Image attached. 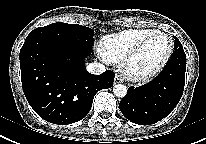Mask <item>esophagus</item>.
I'll use <instances>...</instances> for the list:
<instances>
[{
  "label": "esophagus",
  "instance_id": "34e87169",
  "mask_svg": "<svg viewBox=\"0 0 206 144\" xmlns=\"http://www.w3.org/2000/svg\"><path fill=\"white\" fill-rule=\"evenodd\" d=\"M122 82H123V79L119 75H116L114 78V84L122 83Z\"/></svg>",
  "mask_w": 206,
  "mask_h": 144
}]
</instances>
